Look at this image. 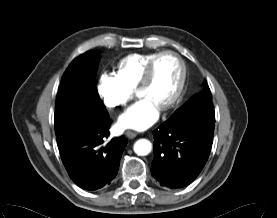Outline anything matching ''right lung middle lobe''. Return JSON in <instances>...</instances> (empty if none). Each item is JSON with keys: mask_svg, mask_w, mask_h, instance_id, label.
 Here are the masks:
<instances>
[{"mask_svg": "<svg viewBox=\"0 0 277 218\" xmlns=\"http://www.w3.org/2000/svg\"><path fill=\"white\" fill-rule=\"evenodd\" d=\"M98 62V53L88 51L74 59L62 77L55 105L58 148L108 116L95 85Z\"/></svg>", "mask_w": 277, "mask_h": 218, "instance_id": "1", "label": "right lung middle lobe"}]
</instances>
